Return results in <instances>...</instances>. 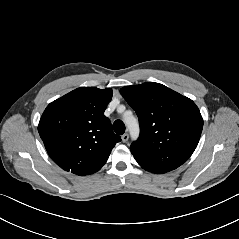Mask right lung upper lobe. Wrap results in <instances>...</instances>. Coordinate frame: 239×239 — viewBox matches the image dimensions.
<instances>
[{
	"mask_svg": "<svg viewBox=\"0 0 239 239\" xmlns=\"http://www.w3.org/2000/svg\"><path fill=\"white\" fill-rule=\"evenodd\" d=\"M112 89L80 87L50 103L38 125L49 156L76 175L99 171L121 137L114 134L104 111Z\"/></svg>",
	"mask_w": 239,
	"mask_h": 239,
	"instance_id": "cb5924a9",
	"label": "right lung upper lobe"
}]
</instances>
